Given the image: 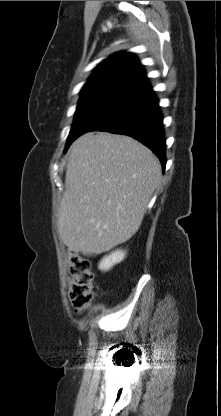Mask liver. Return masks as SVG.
Here are the masks:
<instances>
[{
  "label": "liver",
  "instance_id": "obj_1",
  "mask_svg": "<svg viewBox=\"0 0 221 416\" xmlns=\"http://www.w3.org/2000/svg\"><path fill=\"white\" fill-rule=\"evenodd\" d=\"M70 149L59 237L70 251L98 255L138 231L161 165L137 140L108 132L86 133Z\"/></svg>",
  "mask_w": 221,
  "mask_h": 416
}]
</instances>
